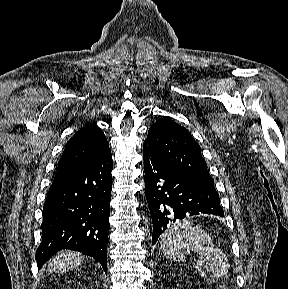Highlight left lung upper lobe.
<instances>
[{
  "mask_svg": "<svg viewBox=\"0 0 288 289\" xmlns=\"http://www.w3.org/2000/svg\"><path fill=\"white\" fill-rule=\"evenodd\" d=\"M144 144L169 167L214 187L200 146L184 127L166 118L159 119L149 129Z\"/></svg>",
  "mask_w": 288,
  "mask_h": 289,
  "instance_id": "obj_1",
  "label": "left lung upper lobe"
}]
</instances>
